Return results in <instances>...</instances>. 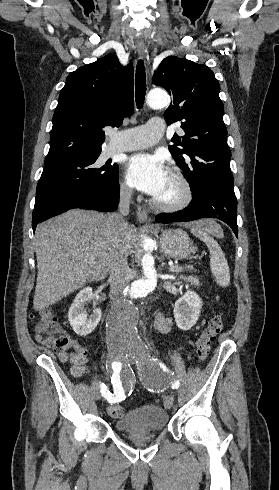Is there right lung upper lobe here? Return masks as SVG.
<instances>
[{"instance_id":"1","label":"right lung upper lobe","mask_w":279,"mask_h":490,"mask_svg":"<svg viewBox=\"0 0 279 490\" xmlns=\"http://www.w3.org/2000/svg\"><path fill=\"white\" fill-rule=\"evenodd\" d=\"M133 66L114 54L69 74L53 116L45 162L101 152L103 127H119L133 112Z\"/></svg>"}]
</instances>
